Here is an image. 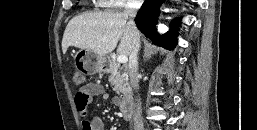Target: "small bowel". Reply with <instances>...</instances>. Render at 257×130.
I'll list each match as a JSON object with an SVG mask.
<instances>
[{"label":"small bowel","mask_w":257,"mask_h":130,"mask_svg":"<svg viewBox=\"0 0 257 130\" xmlns=\"http://www.w3.org/2000/svg\"><path fill=\"white\" fill-rule=\"evenodd\" d=\"M94 96H99L103 100L109 98V94L104 87L98 83H89L81 88L75 95V106L79 116L82 118V130H105V124L101 117L96 116L91 120L86 119L88 106Z\"/></svg>","instance_id":"small-bowel-1"}]
</instances>
